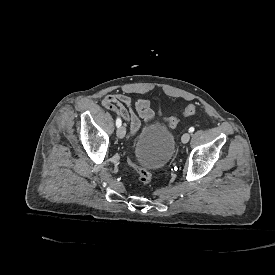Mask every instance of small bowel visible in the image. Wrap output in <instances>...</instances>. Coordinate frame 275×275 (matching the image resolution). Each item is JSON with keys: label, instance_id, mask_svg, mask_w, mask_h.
<instances>
[{"label": "small bowel", "instance_id": "1", "mask_svg": "<svg viewBox=\"0 0 275 275\" xmlns=\"http://www.w3.org/2000/svg\"><path fill=\"white\" fill-rule=\"evenodd\" d=\"M101 105L129 122V131L132 137L139 133L142 121L146 125H150L154 119L148 99L138 98L133 103L131 97L125 92L105 96L101 100Z\"/></svg>", "mask_w": 275, "mask_h": 275}]
</instances>
